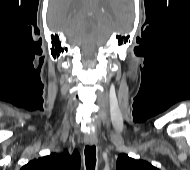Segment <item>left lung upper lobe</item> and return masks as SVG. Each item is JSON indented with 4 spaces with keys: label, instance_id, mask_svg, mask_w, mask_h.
<instances>
[{
    "label": "left lung upper lobe",
    "instance_id": "1",
    "mask_svg": "<svg viewBox=\"0 0 190 170\" xmlns=\"http://www.w3.org/2000/svg\"><path fill=\"white\" fill-rule=\"evenodd\" d=\"M117 170H159L147 161L135 160L127 154H120L116 163Z\"/></svg>",
    "mask_w": 190,
    "mask_h": 170
}]
</instances>
